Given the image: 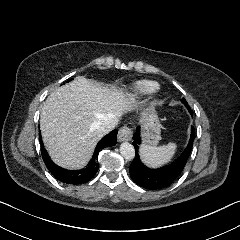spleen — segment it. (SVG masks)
<instances>
[{
  "mask_svg": "<svg viewBox=\"0 0 240 240\" xmlns=\"http://www.w3.org/2000/svg\"><path fill=\"white\" fill-rule=\"evenodd\" d=\"M176 148L177 145L175 143H168L159 147L141 145L139 155L142 162L148 167L157 168L171 161Z\"/></svg>",
  "mask_w": 240,
  "mask_h": 240,
  "instance_id": "1",
  "label": "spleen"
}]
</instances>
